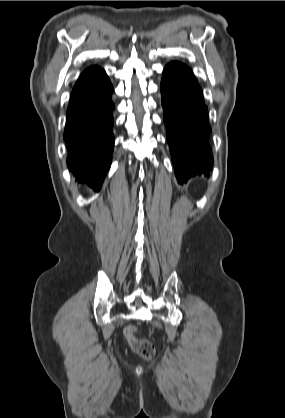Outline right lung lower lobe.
<instances>
[{
	"label": "right lung lower lobe",
	"instance_id": "1",
	"mask_svg": "<svg viewBox=\"0 0 285 418\" xmlns=\"http://www.w3.org/2000/svg\"><path fill=\"white\" fill-rule=\"evenodd\" d=\"M113 87L103 69L76 84L66 112L68 166L79 182L99 191L112 162Z\"/></svg>",
	"mask_w": 285,
	"mask_h": 418
}]
</instances>
